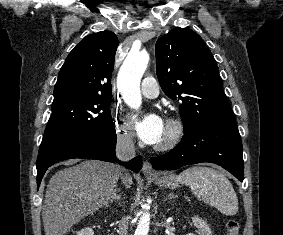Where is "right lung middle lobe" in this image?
<instances>
[{"instance_id": "dd1d6c3e", "label": "right lung middle lobe", "mask_w": 283, "mask_h": 235, "mask_svg": "<svg viewBox=\"0 0 283 235\" xmlns=\"http://www.w3.org/2000/svg\"><path fill=\"white\" fill-rule=\"evenodd\" d=\"M111 97H71L52 105V115L44 132L39 154L78 137H93L114 129Z\"/></svg>"}]
</instances>
